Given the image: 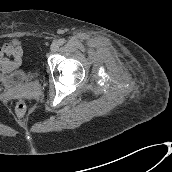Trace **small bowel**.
I'll list each match as a JSON object with an SVG mask.
<instances>
[{"label":"small bowel","instance_id":"c3829d8e","mask_svg":"<svg viewBox=\"0 0 172 172\" xmlns=\"http://www.w3.org/2000/svg\"><path fill=\"white\" fill-rule=\"evenodd\" d=\"M22 54V47L17 41L7 42L0 46V74L3 81L7 80L6 76L15 75L20 68L22 65Z\"/></svg>","mask_w":172,"mask_h":172}]
</instances>
